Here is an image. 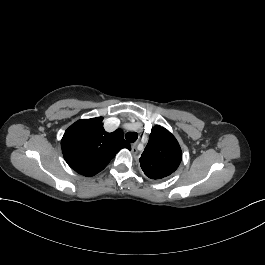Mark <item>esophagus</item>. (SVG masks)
Masks as SVG:
<instances>
[{
    "instance_id": "obj_1",
    "label": "esophagus",
    "mask_w": 265,
    "mask_h": 265,
    "mask_svg": "<svg viewBox=\"0 0 265 265\" xmlns=\"http://www.w3.org/2000/svg\"><path fill=\"white\" fill-rule=\"evenodd\" d=\"M137 146H138V142H135L131 145V148H132V153L133 154H136L138 152V149H137Z\"/></svg>"
}]
</instances>
